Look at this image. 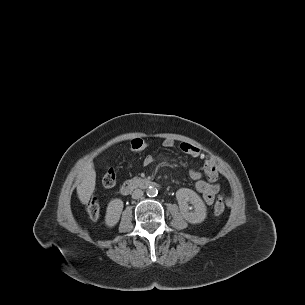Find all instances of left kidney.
<instances>
[{
    "label": "left kidney",
    "mask_w": 305,
    "mask_h": 305,
    "mask_svg": "<svg viewBox=\"0 0 305 305\" xmlns=\"http://www.w3.org/2000/svg\"><path fill=\"white\" fill-rule=\"evenodd\" d=\"M176 198L179 204L180 213L183 218L192 224L201 223L207 217V208L201 197L193 190L180 188L176 192ZM188 202L193 205L189 206Z\"/></svg>",
    "instance_id": "1"
}]
</instances>
